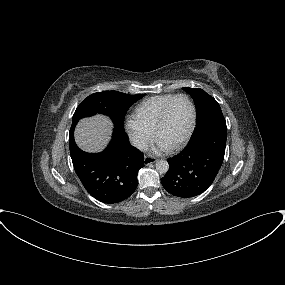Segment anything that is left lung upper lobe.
<instances>
[{
  "mask_svg": "<svg viewBox=\"0 0 285 285\" xmlns=\"http://www.w3.org/2000/svg\"><path fill=\"white\" fill-rule=\"evenodd\" d=\"M194 100L197 111V122L199 124L208 114L214 111H221L218 102L204 90L199 88H183Z\"/></svg>",
  "mask_w": 285,
  "mask_h": 285,
  "instance_id": "5c2ea615",
  "label": "left lung upper lobe"
}]
</instances>
